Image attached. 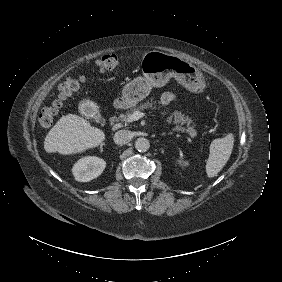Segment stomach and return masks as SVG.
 I'll list each match as a JSON object with an SVG mask.
<instances>
[{
	"instance_id": "stomach-1",
	"label": "stomach",
	"mask_w": 282,
	"mask_h": 282,
	"mask_svg": "<svg viewBox=\"0 0 282 282\" xmlns=\"http://www.w3.org/2000/svg\"><path fill=\"white\" fill-rule=\"evenodd\" d=\"M141 69L144 75L128 83L122 91V99L127 106H135L147 97L152 86L161 87L170 77L176 78L182 85L192 91L204 88V79L200 71L180 57L160 51L144 54Z\"/></svg>"
}]
</instances>
